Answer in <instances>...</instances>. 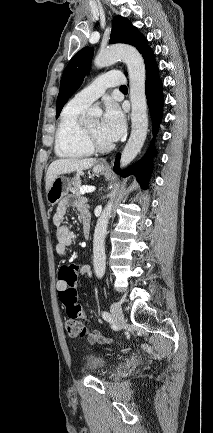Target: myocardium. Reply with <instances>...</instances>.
I'll use <instances>...</instances> for the list:
<instances>
[{
	"label": "myocardium",
	"mask_w": 213,
	"mask_h": 433,
	"mask_svg": "<svg viewBox=\"0 0 213 433\" xmlns=\"http://www.w3.org/2000/svg\"><path fill=\"white\" fill-rule=\"evenodd\" d=\"M83 134L85 141L87 145L96 152H107L111 150L114 145L112 143L109 144H102L99 142L89 131L86 127L83 128Z\"/></svg>",
	"instance_id": "1"
}]
</instances>
